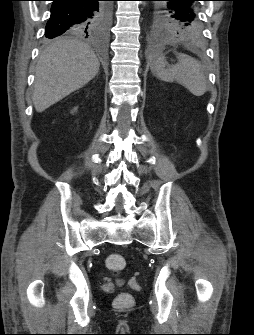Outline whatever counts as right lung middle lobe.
Masks as SVG:
<instances>
[{
  "label": "right lung middle lobe",
  "mask_w": 254,
  "mask_h": 335,
  "mask_svg": "<svg viewBox=\"0 0 254 335\" xmlns=\"http://www.w3.org/2000/svg\"><path fill=\"white\" fill-rule=\"evenodd\" d=\"M110 14H111V4L108 2H104L102 4L100 16L98 20L91 26L90 33L88 34L105 32L110 21ZM74 34H86V33L80 30L74 32Z\"/></svg>",
  "instance_id": "dd1d6c3e"
}]
</instances>
